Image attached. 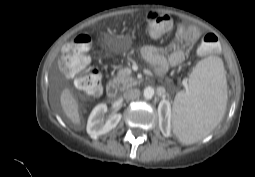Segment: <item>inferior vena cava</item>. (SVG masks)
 Masks as SVG:
<instances>
[{
    "label": "inferior vena cava",
    "mask_w": 255,
    "mask_h": 177,
    "mask_svg": "<svg viewBox=\"0 0 255 177\" xmlns=\"http://www.w3.org/2000/svg\"><path fill=\"white\" fill-rule=\"evenodd\" d=\"M123 96L128 101L134 100L140 96V90L139 89H129L124 92Z\"/></svg>",
    "instance_id": "1"
}]
</instances>
